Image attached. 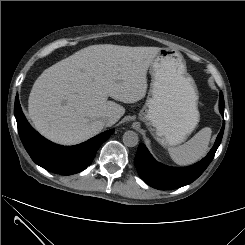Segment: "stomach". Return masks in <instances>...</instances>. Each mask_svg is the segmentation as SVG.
Masks as SVG:
<instances>
[{
    "label": "stomach",
    "mask_w": 245,
    "mask_h": 245,
    "mask_svg": "<svg viewBox=\"0 0 245 245\" xmlns=\"http://www.w3.org/2000/svg\"><path fill=\"white\" fill-rule=\"evenodd\" d=\"M150 89L139 113L164 147L184 142L200 120L198 91L182 54L161 48L150 64Z\"/></svg>",
    "instance_id": "obj_1"
}]
</instances>
